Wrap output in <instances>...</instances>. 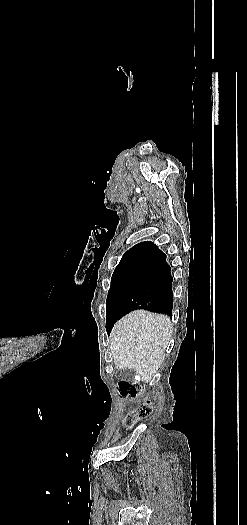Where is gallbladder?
<instances>
[{
    "label": "gallbladder",
    "instance_id": "obj_1",
    "mask_svg": "<svg viewBox=\"0 0 247 525\" xmlns=\"http://www.w3.org/2000/svg\"><path fill=\"white\" fill-rule=\"evenodd\" d=\"M115 377L119 381H123L126 379L132 380L135 377V374L133 372V369L129 366L122 365L119 367L118 371L115 374Z\"/></svg>",
    "mask_w": 247,
    "mask_h": 525
}]
</instances>
